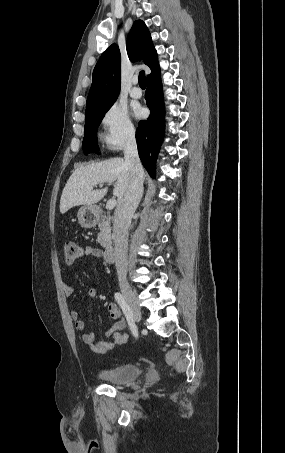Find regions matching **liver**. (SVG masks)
Wrapping results in <instances>:
<instances>
[{
	"instance_id": "liver-1",
	"label": "liver",
	"mask_w": 285,
	"mask_h": 453,
	"mask_svg": "<svg viewBox=\"0 0 285 453\" xmlns=\"http://www.w3.org/2000/svg\"><path fill=\"white\" fill-rule=\"evenodd\" d=\"M116 182L113 195L118 202L125 196L131 181V170L123 158H111L97 163L78 167L69 177L60 199V212L99 202L107 193V188L93 190V186Z\"/></svg>"
}]
</instances>
